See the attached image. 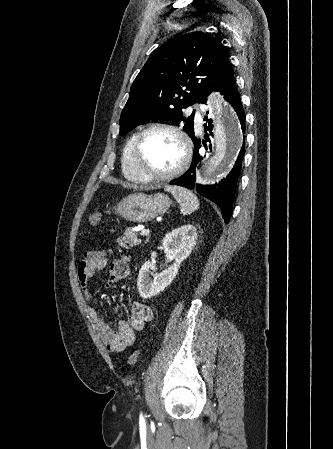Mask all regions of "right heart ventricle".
Here are the masks:
<instances>
[{
    "label": "right heart ventricle",
    "instance_id": "1",
    "mask_svg": "<svg viewBox=\"0 0 333 449\" xmlns=\"http://www.w3.org/2000/svg\"><path fill=\"white\" fill-rule=\"evenodd\" d=\"M137 133L132 134L122 150V171L126 178L132 181L145 182L137 173L133 163V147Z\"/></svg>",
    "mask_w": 333,
    "mask_h": 449
}]
</instances>
